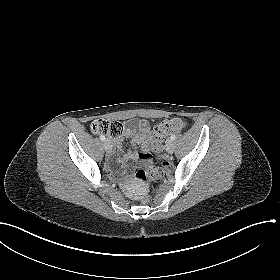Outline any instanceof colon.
<instances>
[{"label":"colon","mask_w":280,"mask_h":280,"mask_svg":"<svg viewBox=\"0 0 280 280\" xmlns=\"http://www.w3.org/2000/svg\"><path fill=\"white\" fill-rule=\"evenodd\" d=\"M183 126L184 123L180 118H171L164 120L153 129L151 137L157 143H159L158 148L162 151L163 137L170 133L180 131ZM90 129L94 134L108 135L114 138L120 136L122 133V125L118 121L107 119L94 120L90 125ZM161 164L163 167L166 165V161L163 155H161ZM163 174L164 171L162 167L148 164L147 166L139 169L136 172L135 178L140 182H144L147 177L152 179H160L161 177H163ZM140 201L143 204H147L150 201V196L147 193L143 192L140 194Z\"/></svg>","instance_id":"colon-1"}]
</instances>
